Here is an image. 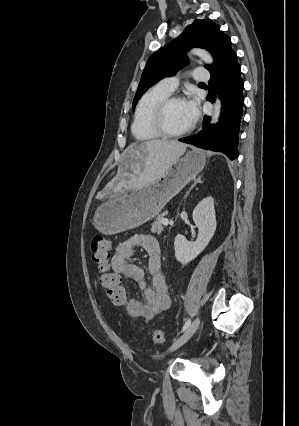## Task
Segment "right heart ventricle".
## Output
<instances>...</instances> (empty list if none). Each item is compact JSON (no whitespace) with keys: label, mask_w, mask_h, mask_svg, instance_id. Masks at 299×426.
Wrapping results in <instances>:
<instances>
[{"label":"right heart ventricle","mask_w":299,"mask_h":426,"mask_svg":"<svg viewBox=\"0 0 299 426\" xmlns=\"http://www.w3.org/2000/svg\"><path fill=\"white\" fill-rule=\"evenodd\" d=\"M170 94L160 84H157L141 97L137 104L131 127L135 139L148 142L161 137L152 126V115L156 106Z\"/></svg>","instance_id":"obj_1"}]
</instances>
